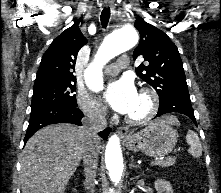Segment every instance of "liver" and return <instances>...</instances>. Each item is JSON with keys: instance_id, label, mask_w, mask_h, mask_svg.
Wrapping results in <instances>:
<instances>
[{"instance_id": "1", "label": "liver", "mask_w": 221, "mask_h": 193, "mask_svg": "<svg viewBox=\"0 0 221 193\" xmlns=\"http://www.w3.org/2000/svg\"><path fill=\"white\" fill-rule=\"evenodd\" d=\"M168 124L179 125L174 116H165ZM87 135L82 127L56 124L38 130L26 143L21 155L22 193H64L80 164ZM98 151L101 140H96Z\"/></svg>"}]
</instances>
